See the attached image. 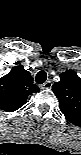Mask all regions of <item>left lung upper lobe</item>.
Listing matches in <instances>:
<instances>
[{
  "label": "left lung upper lobe",
  "instance_id": "left-lung-upper-lobe-1",
  "mask_svg": "<svg viewBox=\"0 0 81 155\" xmlns=\"http://www.w3.org/2000/svg\"><path fill=\"white\" fill-rule=\"evenodd\" d=\"M65 118L74 125H81V78L67 70L60 74V81L52 86Z\"/></svg>",
  "mask_w": 81,
  "mask_h": 155
}]
</instances>
